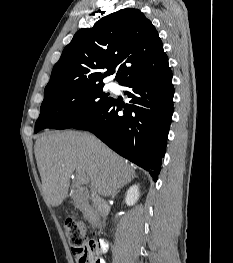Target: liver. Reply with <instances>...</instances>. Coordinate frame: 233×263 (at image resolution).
<instances>
[{"label": "liver", "instance_id": "liver-1", "mask_svg": "<svg viewBox=\"0 0 233 263\" xmlns=\"http://www.w3.org/2000/svg\"><path fill=\"white\" fill-rule=\"evenodd\" d=\"M34 150L42 194L53 207L67 197L75 170L86 173L92 189L105 197L135 177L125 159L87 132H47L36 140Z\"/></svg>", "mask_w": 233, "mask_h": 263}]
</instances>
